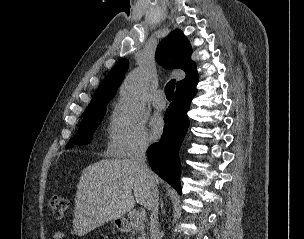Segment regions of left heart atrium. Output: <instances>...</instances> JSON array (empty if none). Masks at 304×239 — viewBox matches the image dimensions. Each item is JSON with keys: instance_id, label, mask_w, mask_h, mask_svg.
<instances>
[{"instance_id": "obj_1", "label": "left heart atrium", "mask_w": 304, "mask_h": 239, "mask_svg": "<svg viewBox=\"0 0 304 239\" xmlns=\"http://www.w3.org/2000/svg\"><path fill=\"white\" fill-rule=\"evenodd\" d=\"M164 130V121L161 116H155L150 124L151 138L157 139Z\"/></svg>"}]
</instances>
